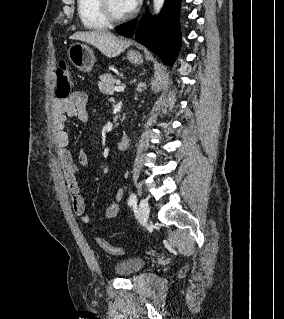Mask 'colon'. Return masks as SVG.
Segmentation results:
<instances>
[{"instance_id":"1","label":"colon","mask_w":284,"mask_h":319,"mask_svg":"<svg viewBox=\"0 0 284 319\" xmlns=\"http://www.w3.org/2000/svg\"><path fill=\"white\" fill-rule=\"evenodd\" d=\"M56 75H57L56 96L60 100H66L69 98L71 94L72 86H73L72 76L67 64L60 63L56 70ZM96 242L101 249H103L105 252L112 255H121L128 251L127 248L113 246L102 238H97Z\"/></svg>"}]
</instances>
